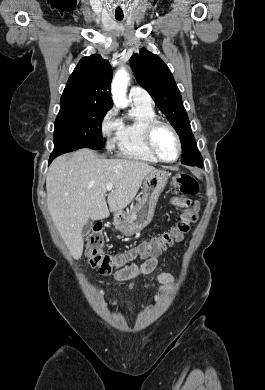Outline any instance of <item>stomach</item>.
<instances>
[{
  "mask_svg": "<svg viewBox=\"0 0 265 390\" xmlns=\"http://www.w3.org/2000/svg\"><path fill=\"white\" fill-rule=\"evenodd\" d=\"M170 174L163 170L150 172L144 180L142 197L131 212L119 211L113 224L126 236L143 230L152 220L158 198L164 190Z\"/></svg>",
  "mask_w": 265,
  "mask_h": 390,
  "instance_id": "0dacf381",
  "label": "stomach"
}]
</instances>
